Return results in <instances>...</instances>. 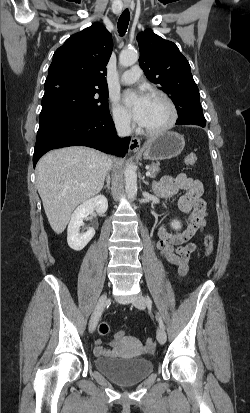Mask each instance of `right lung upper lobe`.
<instances>
[{
  "instance_id": "cb5924a9",
  "label": "right lung upper lobe",
  "mask_w": 250,
  "mask_h": 413,
  "mask_svg": "<svg viewBox=\"0 0 250 413\" xmlns=\"http://www.w3.org/2000/svg\"><path fill=\"white\" fill-rule=\"evenodd\" d=\"M111 34L100 23L70 36L54 55L45 93L64 85L106 88V65L111 56Z\"/></svg>"
}]
</instances>
